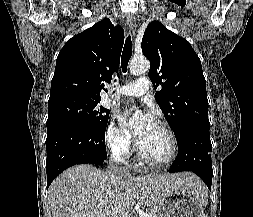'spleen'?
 I'll return each mask as SVG.
<instances>
[{"mask_svg": "<svg viewBox=\"0 0 253 217\" xmlns=\"http://www.w3.org/2000/svg\"><path fill=\"white\" fill-rule=\"evenodd\" d=\"M207 197H208L207 193H205V194L202 196L204 204L207 202Z\"/></svg>", "mask_w": 253, "mask_h": 217, "instance_id": "1", "label": "spleen"}]
</instances>
